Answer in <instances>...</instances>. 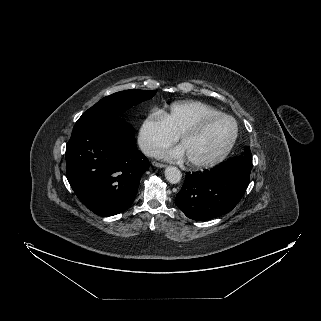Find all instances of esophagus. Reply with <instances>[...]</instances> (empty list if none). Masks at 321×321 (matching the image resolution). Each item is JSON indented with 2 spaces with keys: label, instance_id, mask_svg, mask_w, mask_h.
<instances>
[{
  "label": "esophagus",
  "instance_id": "1",
  "mask_svg": "<svg viewBox=\"0 0 321 321\" xmlns=\"http://www.w3.org/2000/svg\"><path fill=\"white\" fill-rule=\"evenodd\" d=\"M153 165L156 166V167H159V168H164V167H166L165 164L158 163V162H153Z\"/></svg>",
  "mask_w": 321,
  "mask_h": 321
}]
</instances>
